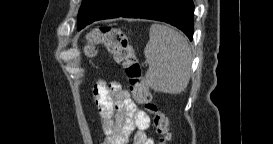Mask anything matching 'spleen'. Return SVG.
Masks as SVG:
<instances>
[{"instance_id":"spleen-1","label":"spleen","mask_w":273,"mask_h":144,"mask_svg":"<svg viewBox=\"0 0 273 144\" xmlns=\"http://www.w3.org/2000/svg\"><path fill=\"white\" fill-rule=\"evenodd\" d=\"M149 37L144 51L149 64L146 83L158 92L181 93L189 83L191 72L187 39L175 29L160 24L151 25Z\"/></svg>"}]
</instances>
